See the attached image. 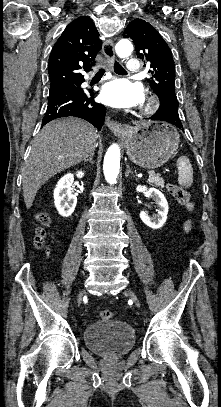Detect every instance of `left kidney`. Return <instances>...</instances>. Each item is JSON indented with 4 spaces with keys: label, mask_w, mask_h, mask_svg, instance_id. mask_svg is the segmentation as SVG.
Listing matches in <instances>:
<instances>
[{
    "label": "left kidney",
    "mask_w": 221,
    "mask_h": 407,
    "mask_svg": "<svg viewBox=\"0 0 221 407\" xmlns=\"http://www.w3.org/2000/svg\"><path fill=\"white\" fill-rule=\"evenodd\" d=\"M136 191L143 192L146 195L152 197L156 204H158L159 206V209L157 210L158 214L155 216L150 217L146 212L140 213V218L143 223L152 229L161 228L166 222L169 209L165 196L156 188H147L146 186L141 185H138L136 187Z\"/></svg>",
    "instance_id": "5707ae66"
}]
</instances>
